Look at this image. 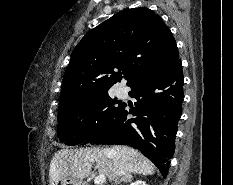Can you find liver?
Returning a JSON list of instances; mask_svg holds the SVG:
<instances>
[{
    "label": "liver",
    "instance_id": "6515ba94",
    "mask_svg": "<svg viewBox=\"0 0 233 185\" xmlns=\"http://www.w3.org/2000/svg\"><path fill=\"white\" fill-rule=\"evenodd\" d=\"M99 175L108 176L110 181H117L125 173L151 175L155 166L138 150L128 146L111 148L61 149L54 154L50 163V185H58L66 177L83 180L88 177L92 164ZM111 163V168L109 166Z\"/></svg>",
    "mask_w": 233,
    "mask_h": 185
}]
</instances>
